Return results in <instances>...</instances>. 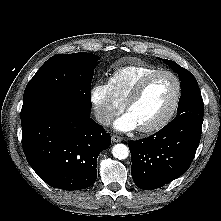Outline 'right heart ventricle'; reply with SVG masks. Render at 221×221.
Returning a JSON list of instances; mask_svg holds the SVG:
<instances>
[{
    "label": "right heart ventricle",
    "mask_w": 221,
    "mask_h": 221,
    "mask_svg": "<svg viewBox=\"0 0 221 221\" xmlns=\"http://www.w3.org/2000/svg\"><path fill=\"white\" fill-rule=\"evenodd\" d=\"M159 70L145 64L126 65L116 69L108 78V86L115 99L124 105V102L136 86L146 75Z\"/></svg>",
    "instance_id": "right-heart-ventricle-1"
}]
</instances>
